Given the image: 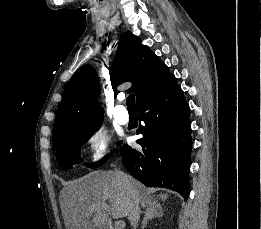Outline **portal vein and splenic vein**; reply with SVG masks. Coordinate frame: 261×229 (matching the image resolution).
<instances>
[{"instance_id": "1", "label": "portal vein and splenic vein", "mask_w": 261, "mask_h": 229, "mask_svg": "<svg viewBox=\"0 0 261 229\" xmlns=\"http://www.w3.org/2000/svg\"><path fill=\"white\" fill-rule=\"evenodd\" d=\"M125 223L124 221H116V229H124Z\"/></svg>"}]
</instances>
